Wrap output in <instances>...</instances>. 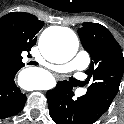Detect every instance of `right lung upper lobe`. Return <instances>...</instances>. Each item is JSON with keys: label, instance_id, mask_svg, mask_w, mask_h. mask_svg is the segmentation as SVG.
Returning a JSON list of instances; mask_svg holds the SVG:
<instances>
[{"label": "right lung upper lobe", "instance_id": "cb5924a9", "mask_svg": "<svg viewBox=\"0 0 124 124\" xmlns=\"http://www.w3.org/2000/svg\"><path fill=\"white\" fill-rule=\"evenodd\" d=\"M43 24L24 12H12L0 18V71L20 70L24 66L21 53L29 52L36 44V35Z\"/></svg>", "mask_w": 124, "mask_h": 124}]
</instances>
